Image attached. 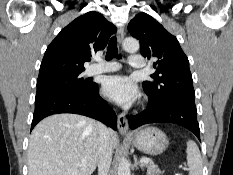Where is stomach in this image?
Instances as JSON below:
<instances>
[{"mask_svg":"<svg viewBox=\"0 0 233 175\" xmlns=\"http://www.w3.org/2000/svg\"><path fill=\"white\" fill-rule=\"evenodd\" d=\"M129 139L137 149L151 156L162 154L169 144L166 134L156 127L140 129Z\"/></svg>","mask_w":233,"mask_h":175,"instance_id":"1","label":"stomach"}]
</instances>
